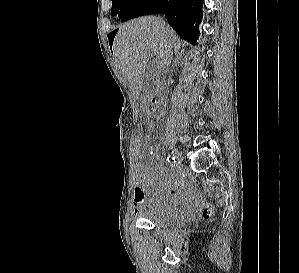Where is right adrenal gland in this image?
<instances>
[{
	"label": "right adrenal gland",
	"instance_id": "obj_1",
	"mask_svg": "<svg viewBox=\"0 0 299 273\" xmlns=\"http://www.w3.org/2000/svg\"><path fill=\"white\" fill-rule=\"evenodd\" d=\"M181 56H182V54H179V55L176 56V59H174V61H173V67H174L175 65H177V63L179 62Z\"/></svg>",
	"mask_w": 299,
	"mask_h": 273
}]
</instances>
